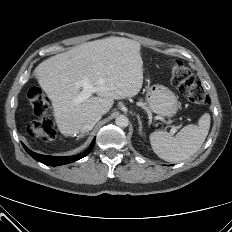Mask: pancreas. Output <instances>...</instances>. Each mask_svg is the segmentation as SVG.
<instances>
[{
  "label": "pancreas",
  "mask_w": 232,
  "mask_h": 232,
  "mask_svg": "<svg viewBox=\"0 0 232 232\" xmlns=\"http://www.w3.org/2000/svg\"><path fill=\"white\" fill-rule=\"evenodd\" d=\"M142 106H144V107H145V104H143V103H142Z\"/></svg>",
  "instance_id": "pancreas-1"
}]
</instances>
